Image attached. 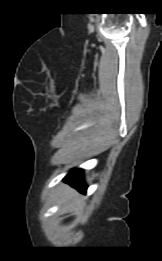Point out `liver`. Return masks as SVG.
Returning a JSON list of instances; mask_svg holds the SVG:
<instances>
[{"label": "liver", "instance_id": "6515ba94", "mask_svg": "<svg viewBox=\"0 0 162 261\" xmlns=\"http://www.w3.org/2000/svg\"><path fill=\"white\" fill-rule=\"evenodd\" d=\"M66 200H73V195L67 196Z\"/></svg>", "mask_w": 162, "mask_h": 261}]
</instances>
